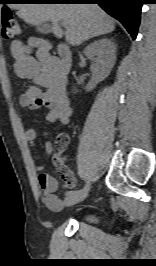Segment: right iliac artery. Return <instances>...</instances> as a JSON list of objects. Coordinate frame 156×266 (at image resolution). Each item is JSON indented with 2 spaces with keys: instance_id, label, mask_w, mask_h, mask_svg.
I'll use <instances>...</instances> for the list:
<instances>
[{
  "instance_id": "obj_1",
  "label": "right iliac artery",
  "mask_w": 156,
  "mask_h": 266,
  "mask_svg": "<svg viewBox=\"0 0 156 266\" xmlns=\"http://www.w3.org/2000/svg\"><path fill=\"white\" fill-rule=\"evenodd\" d=\"M89 188H90V182H85L84 188H82L81 190L67 191L66 196L69 197V196L79 195L83 192H86L87 189Z\"/></svg>"
}]
</instances>
